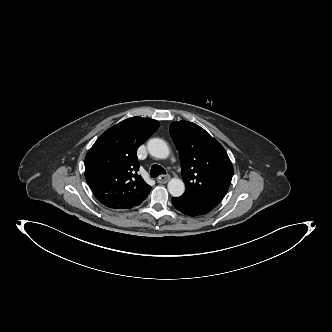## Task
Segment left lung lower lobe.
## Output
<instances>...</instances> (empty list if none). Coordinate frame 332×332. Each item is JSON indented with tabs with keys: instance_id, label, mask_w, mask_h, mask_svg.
<instances>
[{
	"instance_id": "0a47b994",
	"label": "left lung lower lobe",
	"mask_w": 332,
	"mask_h": 332,
	"mask_svg": "<svg viewBox=\"0 0 332 332\" xmlns=\"http://www.w3.org/2000/svg\"><path fill=\"white\" fill-rule=\"evenodd\" d=\"M172 203L177 210L189 216H199L209 212V210L182 197L172 198Z\"/></svg>"
}]
</instances>
